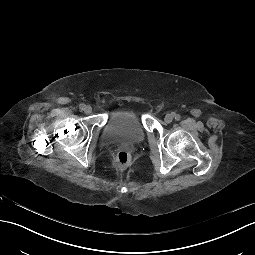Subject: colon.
<instances>
[{"mask_svg":"<svg viewBox=\"0 0 255 255\" xmlns=\"http://www.w3.org/2000/svg\"><path fill=\"white\" fill-rule=\"evenodd\" d=\"M115 160L120 167H125L130 162V155L126 151H120L117 153Z\"/></svg>","mask_w":255,"mask_h":255,"instance_id":"obj_1","label":"colon"}]
</instances>
